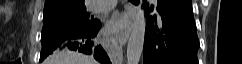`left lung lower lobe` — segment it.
<instances>
[{"mask_svg": "<svg viewBox=\"0 0 242 64\" xmlns=\"http://www.w3.org/2000/svg\"><path fill=\"white\" fill-rule=\"evenodd\" d=\"M157 10L159 16H150L145 30L144 64H198L191 0H157Z\"/></svg>", "mask_w": 242, "mask_h": 64, "instance_id": "0a47b994", "label": "left lung lower lobe"}]
</instances>
